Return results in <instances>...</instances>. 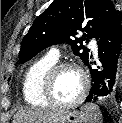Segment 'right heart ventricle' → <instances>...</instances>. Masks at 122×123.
I'll return each instance as SVG.
<instances>
[{"instance_id":"e07e8e85","label":"right heart ventricle","mask_w":122,"mask_h":123,"mask_svg":"<svg viewBox=\"0 0 122 123\" xmlns=\"http://www.w3.org/2000/svg\"><path fill=\"white\" fill-rule=\"evenodd\" d=\"M57 61L45 56L36 61L26 72L23 81V96L32 107L46 108L49 106L42 93L43 81L48 70Z\"/></svg>"}]
</instances>
